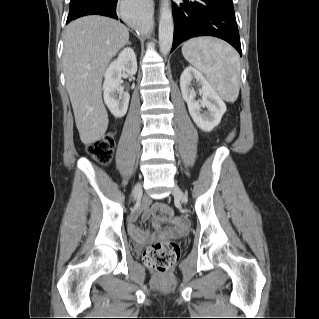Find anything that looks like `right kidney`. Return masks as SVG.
I'll list each match as a JSON object with an SVG mask.
<instances>
[{
    "mask_svg": "<svg viewBox=\"0 0 319 319\" xmlns=\"http://www.w3.org/2000/svg\"><path fill=\"white\" fill-rule=\"evenodd\" d=\"M122 72L134 75L137 72V60L132 48H124L104 73L103 97L110 112L123 117L128 109L130 95L120 86Z\"/></svg>",
    "mask_w": 319,
    "mask_h": 319,
    "instance_id": "right-kidney-1",
    "label": "right kidney"
}]
</instances>
